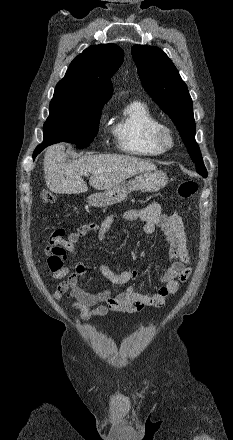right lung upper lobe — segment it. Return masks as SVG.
I'll return each instance as SVG.
<instances>
[{"instance_id": "cb5924a9", "label": "right lung upper lobe", "mask_w": 233, "mask_h": 440, "mask_svg": "<svg viewBox=\"0 0 233 440\" xmlns=\"http://www.w3.org/2000/svg\"><path fill=\"white\" fill-rule=\"evenodd\" d=\"M123 58V50L115 44L94 45L84 50L56 85L51 102L104 105L112 96L110 78Z\"/></svg>"}]
</instances>
